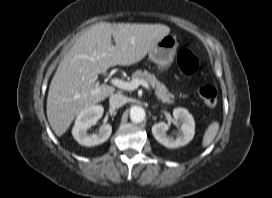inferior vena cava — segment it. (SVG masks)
Instances as JSON below:
<instances>
[{"instance_id": "inferior-vena-cava-1", "label": "inferior vena cava", "mask_w": 272, "mask_h": 198, "mask_svg": "<svg viewBox=\"0 0 272 198\" xmlns=\"http://www.w3.org/2000/svg\"><path fill=\"white\" fill-rule=\"evenodd\" d=\"M127 103V97L121 93L112 94L109 98V104L113 108H120Z\"/></svg>"}]
</instances>
